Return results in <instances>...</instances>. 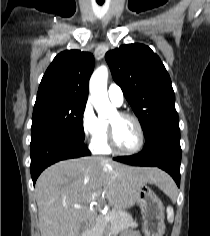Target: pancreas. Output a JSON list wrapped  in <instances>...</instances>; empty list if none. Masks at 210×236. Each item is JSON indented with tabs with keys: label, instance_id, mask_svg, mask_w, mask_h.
Segmentation results:
<instances>
[{
	"label": "pancreas",
	"instance_id": "pancreas-1",
	"mask_svg": "<svg viewBox=\"0 0 210 236\" xmlns=\"http://www.w3.org/2000/svg\"><path fill=\"white\" fill-rule=\"evenodd\" d=\"M108 216L110 218H108ZM132 216L122 209L113 208L105 217L99 218L89 229L88 236H104L107 230L119 233L128 227H136Z\"/></svg>",
	"mask_w": 210,
	"mask_h": 236
}]
</instances>
